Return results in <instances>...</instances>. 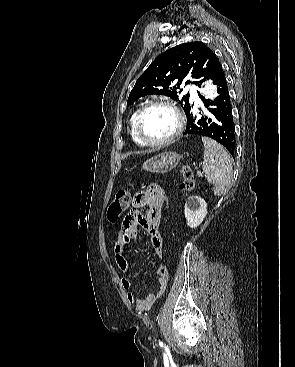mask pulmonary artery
I'll return each instance as SVG.
<instances>
[{
    "instance_id": "pulmonary-artery-1",
    "label": "pulmonary artery",
    "mask_w": 295,
    "mask_h": 367,
    "mask_svg": "<svg viewBox=\"0 0 295 367\" xmlns=\"http://www.w3.org/2000/svg\"><path fill=\"white\" fill-rule=\"evenodd\" d=\"M190 92H191V95H192V97L196 100L198 97H197V94H196V92L194 91V89L193 88H191L190 87Z\"/></svg>"
}]
</instances>
